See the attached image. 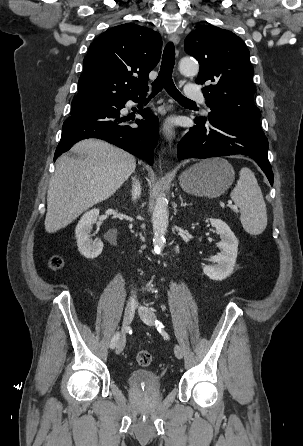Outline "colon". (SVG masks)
<instances>
[{
	"label": "colon",
	"mask_w": 303,
	"mask_h": 446,
	"mask_svg": "<svg viewBox=\"0 0 303 446\" xmlns=\"http://www.w3.org/2000/svg\"><path fill=\"white\" fill-rule=\"evenodd\" d=\"M50 266L57 270L63 266V259L59 256H54L50 261ZM137 363L140 366H148L152 362V355L148 351H140L136 356Z\"/></svg>",
	"instance_id": "obj_1"
}]
</instances>
